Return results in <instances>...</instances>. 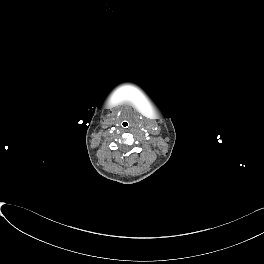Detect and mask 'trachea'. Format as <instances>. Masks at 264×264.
<instances>
[{"instance_id": "obj_1", "label": "trachea", "mask_w": 264, "mask_h": 264, "mask_svg": "<svg viewBox=\"0 0 264 264\" xmlns=\"http://www.w3.org/2000/svg\"><path fill=\"white\" fill-rule=\"evenodd\" d=\"M129 126V124L127 122L123 123V127L127 128Z\"/></svg>"}]
</instances>
